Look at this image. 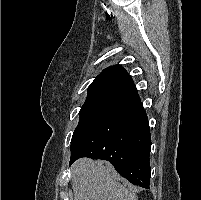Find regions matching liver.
<instances>
[{"label":"liver","instance_id":"obj_1","mask_svg":"<svg viewBox=\"0 0 201 200\" xmlns=\"http://www.w3.org/2000/svg\"><path fill=\"white\" fill-rule=\"evenodd\" d=\"M74 200H137L117 180L111 164L83 158L72 167Z\"/></svg>","mask_w":201,"mask_h":200}]
</instances>
